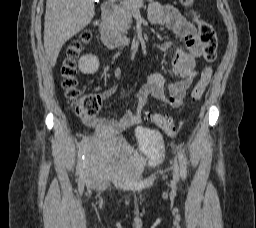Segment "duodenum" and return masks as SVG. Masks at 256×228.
<instances>
[{"label":"duodenum","mask_w":256,"mask_h":228,"mask_svg":"<svg viewBox=\"0 0 256 228\" xmlns=\"http://www.w3.org/2000/svg\"><path fill=\"white\" fill-rule=\"evenodd\" d=\"M115 12L116 6L114 3L106 2L103 4L99 36L101 41L111 49L123 47L128 43V38L117 33L112 26Z\"/></svg>","instance_id":"duodenum-1"}]
</instances>
